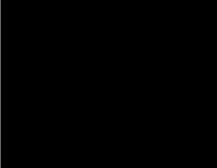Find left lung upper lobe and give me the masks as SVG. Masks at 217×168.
<instances>
[{
  "mask_svg": "<svg viewBox=\"0 0 217 168\" xmlns=\"http://www.w3.org/2000/svg\"><path fill=\"white\" fill-rule=\"evenodd\" d=\"M151 68L143 89L154 97L176 101L182 85V61L174 40L163 30L153 28L149 32Z\"/></svg>",
  "mask_w": 217,
  "mask_h": 168,
  "instance_id": "left-lung-upper-lobe-1",
  "label": "left lung upper lobe"
}]
</instances>
